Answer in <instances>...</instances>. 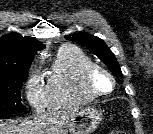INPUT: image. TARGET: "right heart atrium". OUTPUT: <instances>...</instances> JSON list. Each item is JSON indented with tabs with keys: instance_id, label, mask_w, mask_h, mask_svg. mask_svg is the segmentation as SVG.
I'll return each mask as SVG.
<instances>
[{
	"instance_id": "d8ad5b80",
	"label": "right heart atrium",
	"mask_w": 153,
	"mask_h": 134,
	"mask_svg": "<svg viewBox=\"0 0 153 134\" xmlns=\"http://www.w3.org/2000/svg\"><path fill=\"white\" fill-rule=\"evenodd\" d=\"M25 96L30 106L39 111L45 104L44 86L36 72H33L25 84Z\"/></svg>"
}]
</instances>
